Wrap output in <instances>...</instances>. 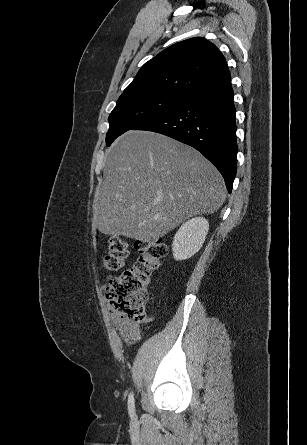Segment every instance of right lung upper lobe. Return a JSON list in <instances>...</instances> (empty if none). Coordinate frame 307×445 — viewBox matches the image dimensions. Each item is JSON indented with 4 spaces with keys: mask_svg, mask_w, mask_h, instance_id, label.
Here are the masks:
<instances>
[{
    "mask_svg": "<svg viewBox=\"0 0 307 445\" xmlns=\"http://www.w3.org/2000/svg\"><path fill=\"white\" fill-rule=\"evenodd\" d=\"M229 76L218 48L195 37L168 47L146 62L122 96L159 94L187 98Z\"/></svg>",
    "mask_w": 307,
    "mask_h": 445,
    "instance_id": "obj_1",
    "label": "right lung upper lobe"
}]
</instances>
